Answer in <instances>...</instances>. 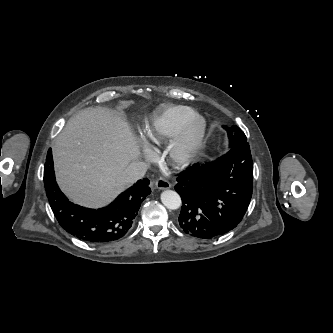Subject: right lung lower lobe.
Here are the masks:
<instances>
[{
  "mask_svg": "<svg viewBox=\"0 0 333 333\" xmlns=\"http://www.w3.org/2000/svg\"><path fill=\"white\" fill-rule=\"evenodd\" d=\"M144 178L122 192L111 204L89 209L70 202L59 189L49 149L44 166V184L52 211L60 226L74 237L90 243H107L122 238L131 229L141 203L151 193Z\"/></svg>",
  "mask_w": 333,
  "mask_h": 333,
  "instance_id": "right-lung-lower-lobe-1",
  "label": "right lung lower lobe"
}]
</instances>
